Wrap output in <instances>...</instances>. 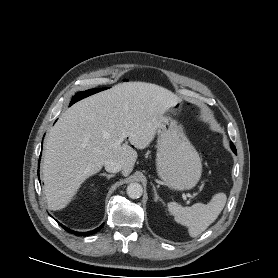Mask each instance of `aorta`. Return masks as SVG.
Masks as SVG:
<instances>
[{"mask_svg": "<svg viewBox=\"0 0 278 278\" xmlns=\"http://www.w3.org/2000/svg\"><path fill=\"white\" fill-rule=\"evenodd\" d=\"M143 188L139 183H131L127 186V195L131 199H137L142 196Z\"/></svg>", "mask_w": 278, "mask_h": 278, "instance_id": "762f6f07", "label": "aorta"}]
</instances>
